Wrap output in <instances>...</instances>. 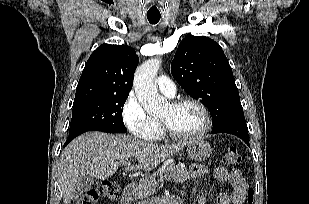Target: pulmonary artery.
Returning a JSON list of instances; mask_svg holds the SVG:
<instances>
[{
	"label": "pulmonary artery",
	"mask_w": 309,
	"mask_h": 204,
	"mask_svg": "<svg viewBox=\"0 0 309 204\" xmlns=\"http://www.w3.org/2000/svg\"><path fill=\"white\" fill-rule=\"evenodd\" d=\"M156 85L162 93H164L169 97L174 96L176 93V86L168 76L165 75L159 76L156 79Z\"/></svg>",
	"instance_id": "pulmonary-artery-1"
}]
</instances>
